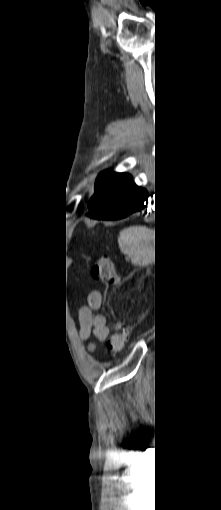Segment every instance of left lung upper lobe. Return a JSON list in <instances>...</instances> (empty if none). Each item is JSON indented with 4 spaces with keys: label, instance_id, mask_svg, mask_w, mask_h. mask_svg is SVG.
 <instances>
[{
    "label": "left lung upper lobe",
    "instance_id": "left-lung-upper-lobe-1",
    "mask_svg": "<svg viewBox=\"0 0 221 510\" xmlns=\"http://www.w3.org/2000/svg\"><path fill=\"white\" fill-rule=\"evenodd\" d=\"M131 182L132 176L127 173L102 172L96 179L95 191L88 204L90 211L108 204Z\"/></svg>",
    "mask_w": 221,
    "mask_h": 510
}]
</instances>
